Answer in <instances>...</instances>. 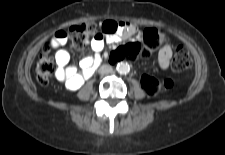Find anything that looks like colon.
<instances>
[{"mask_svg": "<svg viewBox=\"0 0 225 155\" xmlns=\"http://www.w3.org/2000/svg\"><path fill=\"white\" fill-rule=\"evenodd\" d=\"M70 33L71 45L75 50H83L89 40L97 34V26L94 23H81L67 29ZM168 40L167 34L155 28H147L142 33L141 42L128 43L112 52L109 63L113 67L121 65L122 61L131 62L134 58H148L152 52L162 43ZM191 66V57L187 49L180 45L176 48L172 60V69L176 72L184 71ZM54 61L50 55V45H46L36 61V79L42 86H47L54 74ZM142 86L149 96H155L160 92H167L174 86L169 79L159 81L152 76L143 75Z\"/></svg>", "mask_w": 225, "mask_h": 155, "instance_id": "1", "label": "colon"}]
</instances>
